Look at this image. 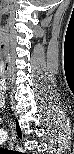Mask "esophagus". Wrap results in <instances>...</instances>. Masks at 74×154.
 I'll return each instance as SVG.
<instances>
[{"instance_id":"34e87169","label":"esophagus","mask_w":74,"mask_h":154,"mask_svg":"<svg viewBox=\"0 0 74 154\" xmlns=\"http://www.w3.org/2000/svg\"><path fill=\"white\" fill-rule=\"evenodd\" d=\"M12 134H13V132H12ZM14 139L15 138L12 136L11 139H10V145H13L14 144V141H15Z\"/></svg>"}]
</instances>
